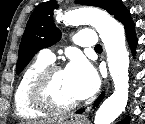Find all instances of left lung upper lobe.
<instances>
[{
	"mask_svg": "<svg viewBox=\"0 0 145 124\" xmlns=\"http://www.w3.org/2000/svg\"><path fill=\"white\" fill-rule=\"evenodd\" d=\"M77 3L103 8L115 18L126 9L121 0H77ZM57 7L55 0L46 1L39 4L31 14L19 47L17 74L39 50L59 41L61 32L53 23V10Z\"/></svg>",
	"mask_w": 145,
	"mask_h": 124,
	"instance_id": "5c2ea615",
	"label": "left lung upper lobe"
}]
</instances>
